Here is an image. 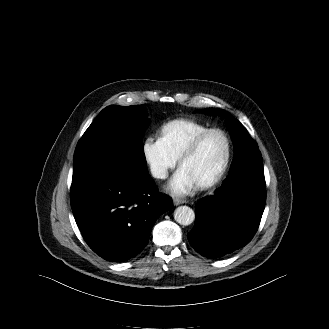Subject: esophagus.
<instances>
[{
    "instance_id": "obj_1",
    "label": "esophagus",
    "mask_w": 329,
    "mask_h": 329,
    "mask_svg": "<svg viewBox=\"0 0 329 329\" xmlns=\"http://www.w3.org/2000/svg\"><path fill=\"white\" fill-rule=\"evenodd\" d=\"M183 203H186V201L185 200H182V199H178V198H174L173 199V204L175 206L180 205V204H183Z\"/></svg>"
}]
</instances>
